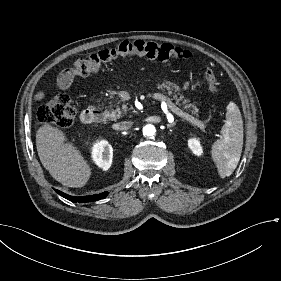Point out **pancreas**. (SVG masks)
I'll use <instances>...</instances> for the list:
<instances>
[{
  "mask_svg": "<svg viewBox=\"0 0 281 281\" xmlns=\"http://www.w3.org/2000/svg\"><path fill=\"white\" fill-rule=\"evenodd\" d=\"M172 86V87H171ZM162 87L165 88L167 91H168V95H172L173 94V91L174 93L178 92L180 90L179 86L177 85H173L171 82H166V83H163L162 84ZM179 95V97H178ZM168 98V97H167ZM170 99V98H169ZM173 99L176 100V105H179L180 106V101L183 99V96L180 95L179 93L178 94H174L173 95ZM172 101V99H170ZM184 103H186V101H184ZM189 107H192L193 108V111H192V114H196L198 116V108L192 104H188L185 106V108H189ZM126 111L124 110H121L119 107L117 109H115L114 111L111 112L110 116H109V119L112 120V121H116L117 119L121 118L123 116V114H125ZM193 117V116H192ZM193 119H196L193 117ZM198 120V119H197ZM198 122H201L200 120H198ZM203 123V122H201ZM204 124V123H203ZM205 125V124H204Z\"/></svg>",
  "mask_w": 281,
  "mask_h": 281,
  "instance_id": "cf45deb5",
  "label": "pancreas"
}]
</instances>
